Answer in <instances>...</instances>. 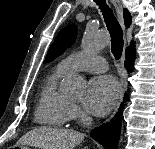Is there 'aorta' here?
<instances>
[{
	"instance_id": "1",
	"label": "aorta",
	"mask_w": 155,
	"mask_h": 149,
	"mask_svg": "<svg viewBox=\"0 0 155 149\" xmlns=\"http://www.w3.org/2000/svg\"><path fill=\"white\" fill-rule=\"evenodd\" d=\"M109 43L107 35L100 33L93 26L88 25L81 41L84 52L90 53L106 47ZM85 81L79 75L68 76L62 85L64 94L72 97H81L84 93Z\"/></svg>"
}]
</instances>
